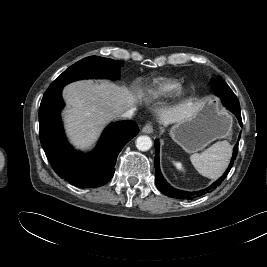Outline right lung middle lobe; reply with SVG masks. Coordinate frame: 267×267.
<instances>
[{
	"instance_id": "dd1d6c3e",
	"label": "right lung middle lobe",
	"mask_w": 267,
	"mask_h": 267,
	"mask_svg": "<svg viewBox=\"0 0 267 267\" xmlns=\"http://www.w3.org/2000/svg\"><path fill=\"white\" fill-rule=\"evenodd\" d=\"M121 65L122 63L119 61L98 56L84 58L64 71L49 86L44 96H48L57 89L63 88L66 84L80 79L108 78L116 80L119 76L118 67Z\"/></svg>"
}]
</instances>
